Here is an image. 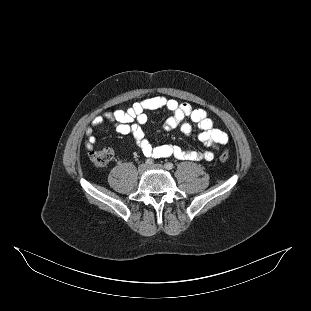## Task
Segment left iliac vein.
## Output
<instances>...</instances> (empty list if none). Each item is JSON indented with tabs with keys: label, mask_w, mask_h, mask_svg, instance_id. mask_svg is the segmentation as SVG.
Listing matches in <instances>:
<instances>
[{
	"label": "left iliac vein",
	"mask_w": 311,
	"mask_h": 311,
	"mask_svg": "<svg viewBox=\"0 0 311 311\" xmlns=\"http://www.w3.org/2000/svg\"><path fill=\"white\" fill-rule=\"evenodd\" d=\"M149 169H159V170H164L165 167L161 164H153L151 166H149Z\"/></svg>",
	"instance_id": "left-iliac-vein-1"
}]
</instances>
